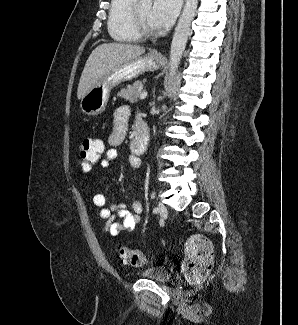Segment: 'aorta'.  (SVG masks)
Segmentation results:
<instances>
[{"label": "aorta", "instance_id": "aorta-1", "mask_svg": "<svg viewBox=\"0 0 298 325\" xmlns=\"http://www.w3.org/2000/svg\"><path fill=\"white\" fill-rule=\"evenodd\" d=\"M140 6H152L153 0H138ZM198 0H185L183 10L173 32L169 52L168 88L172 86L186 48L191 22L195 16Z\"/></svg>", "mask_w": 298, "mask_h": 325}]
</instances>
